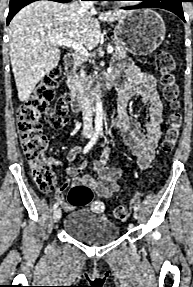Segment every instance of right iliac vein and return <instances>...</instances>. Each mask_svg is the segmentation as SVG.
<instances>
[{"instance_id":"obj_1","label":"right iliac vein","mask_w":193,"mask_h":287,"mask_svg":"<svg viewBox=\"0 0 193 287\" xmlns=\"http://www.w3.org/2000/svg\"><path fill=\"white\" fill-rule=\"evenodd\" d=\"M61 214H62V212H61V209H60V208H57V209L54 211V213H53V220H54L55 223L59 221V219H60V217H61Z\"/></svg>"}]
</instances>
